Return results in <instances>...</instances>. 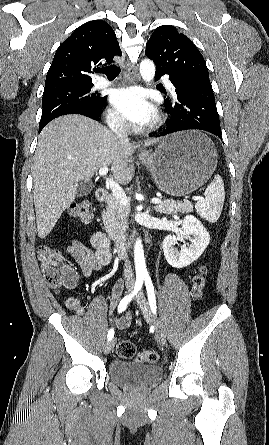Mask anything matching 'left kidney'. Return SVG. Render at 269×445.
<instances>
[{
    "label": "left kidney",
    "mask_w": 269,
    "mask_h": 445,
    "mask_svg": "<svg viewBox=\"0 0 269 445\" xmlns=\"http://www.w3.org/2000/svg\"><path fill=\"white\" fill-rule=\"evenodd\" d=\"M184 238H190V244L178 251L174 246ZM209 242L210 235L202 223L196 217L187 215L182 222V231L165 237L163 241L165 259L175 268L186 267L202 255Z\"/></svg>",
    "instance_id": "5707ae66"
}]
</instances>
